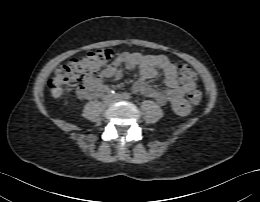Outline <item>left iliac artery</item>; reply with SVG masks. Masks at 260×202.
<instances>
[{"label":"left iliac artery","instance_id":"1","mask_svg":"<svg viewBox=\"0 0 260 202\" xmlns=\"http://www.w3.org/2000/svg\"><path fill=\"white\" fill-rule=\"evenodd\" d=\"M123 96L125 97V99H129L130 98V94L129 93H123Z\"/></svg>","mask_w":260,"mask_h":202}]
</instances>
